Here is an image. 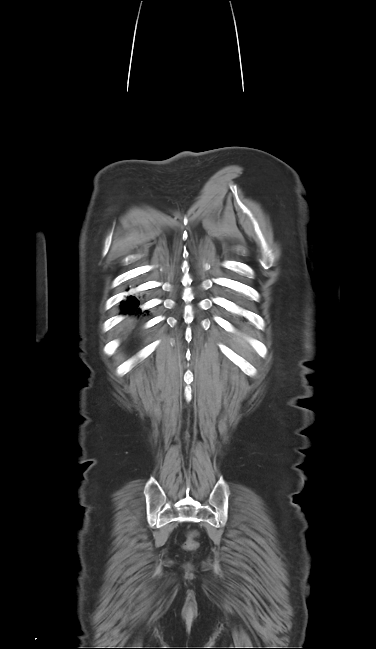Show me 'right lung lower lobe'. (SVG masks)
Instances as JSON below:
<instances>
[{"label": "right lung lower lobe", "mask_w": 376, "mask_h": 649, "mask_svg": "<svg viewBox=\"0 0 376 649\" xmlns=\"http://www.w3.org/2000/svg\"><path fill=\"white\" fill-rule=\"evenodd\" d=\"M139 306V301L134 296L127 297V300L122 302L121 309L124 313H134V310Z\"/></svg>", "instance_id": "right-lung-lower-lobe-1"}]
</instances>
